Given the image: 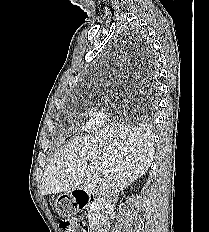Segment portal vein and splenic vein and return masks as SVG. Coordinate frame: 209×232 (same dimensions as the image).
I'll use <instances>...</instances> for the list:
<instances>
[{
    "label": "portal vein and splenic vein",
    "instance_id": "1",
    "mask_svg": "<svg viewBox=\"0 0 209 232\" xmlns=\"http://www.w3.org/2000/svg\"><path fill=\"white\" fill-rule=\"evenodd\" d=\"M91 171H95V169H94V168H91Z\"/></svg>",
    "mask_w": 209,
    "mask_h": 232
}]
</instances>
